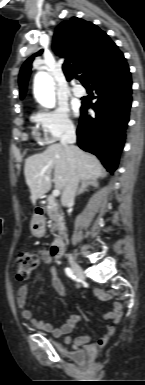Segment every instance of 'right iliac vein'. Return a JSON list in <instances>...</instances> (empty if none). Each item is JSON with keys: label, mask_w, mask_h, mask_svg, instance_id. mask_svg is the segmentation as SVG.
<instances>
[{"label": "right iliac vein", "mask_w": 145, "mask_h": 385, "mask_svg": "<svg viewBox=\"0 0 145 385\" xmlns=\"http://www.w3.org/2000/svg\"><path fill=\"white\" fill-rule=\"evenodd\" d=\"M70 264H71V267H72V270L74 271V273L79 278H84V271H83V269L81 268V266L74 259H70Z\"/></svg>", "instance_id": "obj_1"}]
</instances>
